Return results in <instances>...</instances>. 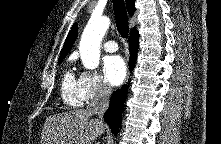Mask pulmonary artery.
Returning <instances> with one entry per match:
<instances>
[{
  "label": "pulmonary artery",
  "instance_id": "e3ab8cb5",
  "mask_svg": "<svg viewBox=\"0 0 221 144\" xmlns=\"http://www.w3.org/2000/svg\"><path fill=\"white\" fill-rule=\"evenodd\" d=\"M103 48L107 52H115L118 50V45L115 41H107L103 44Z\"/></svg>",
  "mask_w": 221,
  "mask_h": 144
}]
</instances>
